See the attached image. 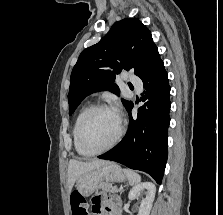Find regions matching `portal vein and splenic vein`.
I'll use <instances>...</instances> for the list:
<instances>
[{
	"label": "portal vein and splenic vein",
	"instance_id": "obj_1",
	"mask_svg": "<svg viewBox=\"0 0 223 215\" xmlns=\"http://www.w3.org/2000/svg\"><path fill=\"white\" fill-rule=\"evenodd\" d=\"M123 188H124V187H123L122 185H121V186H119V189H121V190H122Z\"/></svg>",
	"mask_w": 223,
	"mask_h": 215
}]
</instances>
